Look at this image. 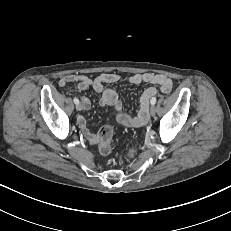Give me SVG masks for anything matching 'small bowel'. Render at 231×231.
I'll list each match as a JSON object with an SVG mask.
<instances>
[{"mask_svg": "<svg viewBox=\"0 0 231 231\" xmlns=\"http://www.w3.org/2000/svg\"><path fill=\"white\" fill-rule=\"evenodd\" d=\"M120 80L121 76L116 73H102L94 79L82 74H69L63 76L59 80V86L64 87L68 83H75L79 90L91 88L94 92L101 93L100 104L114 109L115 119L122 127H138L144 125L147 122L149 100L158 93V89L162 93H168L172 89L171 79L163 74L147 72L129 76L127 81L131 84L139 85L145 83L153 85L143 92L140 98V110L135 117H131L123 111V105L117 93L112 89L105 88L106 84L116 83ZM156 87H158V89ZM82 103L84 109H90L91 101L89 98L82 97ZM78 124L88 142L90 144L99 145V134H93L88 131L86 120L81 117L78 119Z\"/></svg>", "mask_w": 231, "mask_h": 231, "instance_id": "obj_1", "label": "small bowel"}]
</instances>
